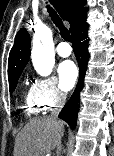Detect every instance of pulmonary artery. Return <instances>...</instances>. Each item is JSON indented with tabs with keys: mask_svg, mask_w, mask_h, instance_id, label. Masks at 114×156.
<instances>
[{
	"mask_svg": "<svg viewBox=\"0 0 114 156\" xmlns=\"http://www.w3.org/2000/svg\"><path fill=\"white\" fill-rule=\"evenodd\" d=\"M56 51L60 57H69L72 53V48L67 42H61L58 44Z\"/></svg>",
	"mask_w": 114,
	"mask_h": 156,
	"instance_id": "e3ab8cb5",
	"label": "pulmonary artery"
}]
</instances>
